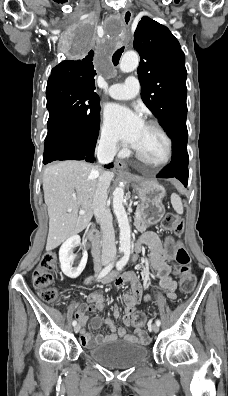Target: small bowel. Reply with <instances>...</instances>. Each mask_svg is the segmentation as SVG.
<instances>
[{"label":"small bowel","mask_w":228,"mask_h":396,"mask_svg":"<svg viewBox=\"0 0 228 396\" xmlns=\"http://www.w3.org/2000/svg\"><path fill=\"white\" fill-rule=\"evenodd\" d=\"M142 245H146L149 250V262L151 267L155 270L158 278V286L165 291V296L174 300L176 298L177 282L171 276V266L168 264L167 251L163 247L157 234L153 232L145 233L140 241L136 244L135 250L139 252ZM108 276L102 279V282L108 283L112 282L116 286H121L125 283L131 285V293H126L123 296L125 304V314L123 316V326L116 328L112 320L109 318L102 319L99 316H95L91 320V326L93 329L100 328L103 324L110 328L111 333L108 335H91L85 331L84 328L80 330V341L81 344L90 348L98 345L102 342L114 340V339H124L137 342H146L148 340L147 332L140 327L134 326V334L127 333V327L133 326L132 324V314L135 311V307L141 302H148L151 299L150 295H143L142 286L137 277L128 273L123 276H118L114 280L109 281ZM93 277L86 279V283L90 284L94 282ZM88 304H83L80 306L76 312V317L78 318L82 327L88 322L87 314L95 311H102L104 309V297L100 292H90L87 296ZM113 318L118 319L120 317V310L117 305L113 307L112 312Z\"/></svg>","instance_id":"obj_1"}]
</instances>
